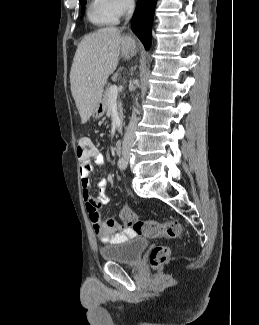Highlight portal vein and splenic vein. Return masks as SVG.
I'll return each mask as SVG.
<instances>
[{
	"mask_svg": "<svg viewBox=\"0 0 259 325\" xmlns=\"http://www.w3.org/2000/svg\"><path fill=\"white\" fill-rule=\"evenodd\" d=\"M118 95V87L117 85H112L110 87V100H116Z\"/></svg>",
	"mask_w": 259,
	"mask_h": 325,
	"instance_id": "18ae733b",
	"label": "portal vein and splenic vein"
}]
</instances>
